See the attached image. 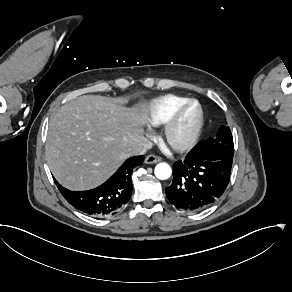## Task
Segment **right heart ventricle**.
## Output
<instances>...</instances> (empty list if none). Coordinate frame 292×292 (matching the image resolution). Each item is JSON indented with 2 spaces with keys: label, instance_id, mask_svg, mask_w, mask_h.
Here are the masks:
<instances>
[{
  "label": "right heart ventricle",
  "instance_id": "e07e8e85",
  "mask_svg": "<svg viewBox=\"0 0 292 292\" xmlns=\"http://www.w3.org/2000/svg\"><path fill=\"white\" fill-rule=\"evenodd\" d=\"M187 100V97L178 94H165L153 99L147 114L148 122L156 126L163 125L172 112Z\"/></svg>",
  "mask_w": 292,
  "mask_h": 292
}]
</instances>
